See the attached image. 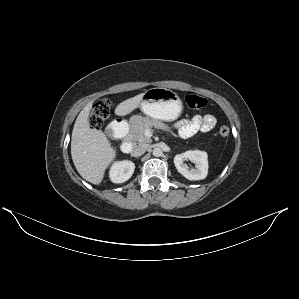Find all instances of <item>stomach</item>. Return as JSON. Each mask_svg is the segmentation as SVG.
Here are the masks:
<instances>
[{
    "label": "stomach",
    "mask_w": 299,
    "mask_h": 299,
    "mask_svg": "<svg viewBox=\"0 0 299 299\" xmlns=\"http://www.w3.org/2000/svg\"><path fill=\"white\" fill-rule=\"evenodd\" d=\"M140 108L148 117L164 121L177 119L183 109L178 94L163 87L145 91Z\"/></svg>",
    "instance_id": "stomach-1"
}]
</instances>
